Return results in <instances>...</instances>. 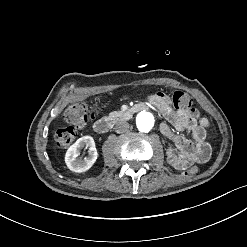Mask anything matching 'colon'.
Instances as JSON below:
<instances>
[{
    "mask_svg": "<svg viewBox=\"0 0 247 247\" xmlns=\"http://www.w3.org/2000/svg\"><path fill=\"white\" fill-rule=\"evenodd\" d=\"M191 101L192 99L188 97L184 90H179L173 94V105L178 109L192 108ZM92 118L93 116L82 102L72 103L64 111V119L79 127L87 125ZM75 135L76 130L72 125L58 128L54 135L56 147L58 149L66 148L74 141ZM197 171L198 168L195 166L187 168V172L191 174L197 173Z\"/></svg>",
    "mask_w": 247,
    "mask_h": 247,
    "instance_id": "colon-1",
    "label": "colon"
}]
</instances>
